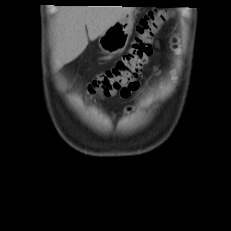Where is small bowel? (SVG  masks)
Returning a JSON list of instances; mask_svg holds the SVG:
<instances>
[{"mask_svg": "<svg viewBox=\"0 0 231 231\" xmlns=\"http://www.w3.org/2000/svg\"><path fill=\"white\" fill-rule=\"evenodd\" d=\"M139 89V83L137 81L132 82L125 87H123L119 93L120 96L124 99L128 98L133 92L137 91Z\"/></svg>", "mask_w": 231, "mask_h": 231, "instance_id": "c3829d8e", "label": "small bowel"}]
</instances>
